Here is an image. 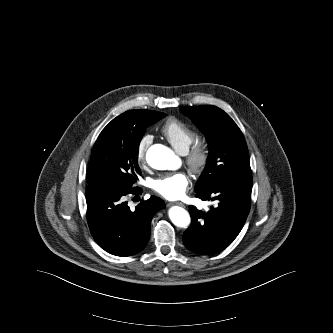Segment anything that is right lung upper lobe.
<instances>
[{"instance_id":"cb5924a9","label":"right lung upper lobe","mask_w":333,"mask_h":333,"mask_svg":"<svg viewBox=\"0 0 333 333\" xmlns=\"http://www.w3.org/2000/svg\"><path fill=\"white\" fill-rule=\"evenodd\" d=\"M133 111H139V110H130L127 111L123 114H121L120 116L116 117L115 119H113L110 124H121L125 122V118L130 115Z\"/></svg>"}]
</instances>
